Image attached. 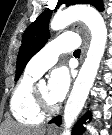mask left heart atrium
<instances>
[{"label":"left heart atrium","instance_id":"1","mask_svg":"<svg viewBox=\"0 0 112 135\" xmlns=\"http://www.w3.org/2000/svg\"><path fill=\"white\" fill-rule=\"evenodd\" d=\"M71 77L66 67H59L52 71L48 91L50 98L55 102L63 100L70 87Z\"/></svg>","mask_w":112,"mask_h":135}]
</instances>
